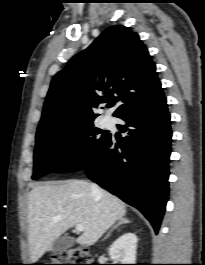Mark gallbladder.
I'll use <instances>...</instances> for the list:
<instances>
[{
  "label": "gallbladder",
  "instance_id": "bac80fb5",
  "mask_svg": "<svg viewBox=\"0 0 205 265\" xmlns=\"http://www.w3.org/2000/svg\"><path fill=\"white\" fill-rule=\"evenodd\" d=\"M73 244H74V239L72 237L67 236V235L60 236L53 241L49 250L52 253L62 252L66 249L71 248Z\"/></svg>",
  "mask_w": 205,
  "mask_h": 265
}]
</instances>
